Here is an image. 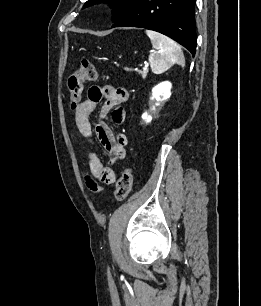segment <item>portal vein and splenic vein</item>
<instances>
[{"label": "portal vein and splenic vein", "instance_id": "1", "mask_svg": "<svg viewBox=\"0 0 261 306\" xmlns=\"http://www.w3.org/2000/svg\"><path fill=\"white\" fill-rule=\"evenodd\" d=\"M143 70L147 71L148 70V65H144Z\"/></svg>", "mask_w": 261, "mask_h": 306}]
</instances>
